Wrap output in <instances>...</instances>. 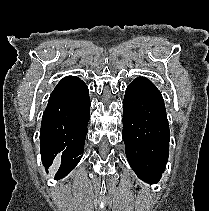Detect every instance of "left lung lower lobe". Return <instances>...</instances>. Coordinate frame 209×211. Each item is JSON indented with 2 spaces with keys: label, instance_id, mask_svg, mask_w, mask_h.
I'll use <instances>...</instances> for the list:
<instances>
[{
  "label": "left lung lower lobe",
  "instance_id": "left-lung-lower-lobe-1",
  "mask_svg": "<svg viewBox=\"0 0 209 211\" xmlns=\"http://www.w3.org/2000/svg\"><path fill=\"white\" fill-rule=\"evenodd\" d=\"M122 137L136 175L157 183L168 160L169 125L162 95L145 77L134 79L126 89Z\"/></svg>",
  "mask_w": 209,
  "mask_h": 211
}]
</instances>
